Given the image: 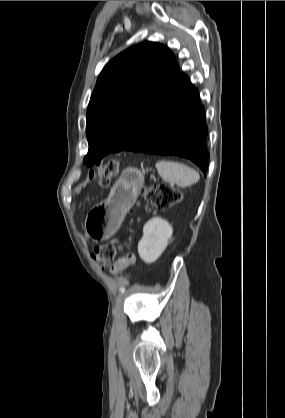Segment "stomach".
<instances>
[{"instance_id": "obj_1", "label": "stomach", "mask_w": 285, "mask_h": 418, "mask_svg": "<svg viewBox=\"0 0 285 418\" xmlns=\"http://www.w3.org/2000/svg\"><path fill=\"white\" fill-rule=\"evenodd\" d=\"M144 183V172L128 167L112 187L109 197L90 211L85 230L94 241H103L120 227L127 211L134 205Z\"/></svg>"}]
</instances>
